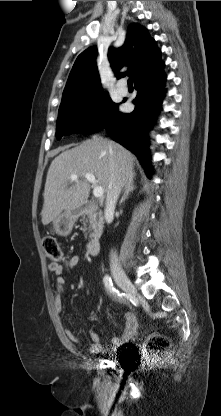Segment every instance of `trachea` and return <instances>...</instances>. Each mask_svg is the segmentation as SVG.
Segmentation results:
<instances>
[{
  "label": "trachea",
  "instance_id": "trachea-1",
  "mask_svg": "<svg viewBox=\"0 0 221 416\" xmlns=\"http://www.w3.org/2000/svg\"><path fill=\"white\" fill-rule=\"evenodd\" d=\"M128 86L129 87H132L133 86L132 78H129L128 79Z\"/></svg>",
  "mask_w": 221,
  "mask_h": 416
}]
</instances>
